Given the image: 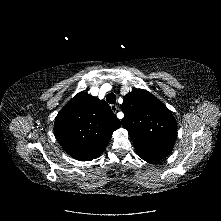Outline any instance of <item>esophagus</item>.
I'll return each mask as SVG.
<instances>
[{"instance_id":"obj_1","label":"esophagus","mask_w":221,"mask_h":221,"mask_svg":"<svg viewBox=\"0 0 221 221\" xmlns=\"http://www.w3.org/2000/svg\"><path fill=\"white\" fill-rule=\"evenodd\" d=\"M110 107L113 113H116L119 110L118 106L115 104L111 105Z\"/></svg>"}]
</instances>
